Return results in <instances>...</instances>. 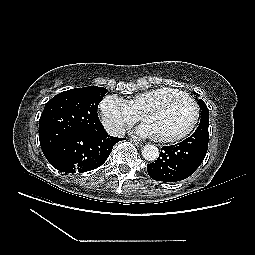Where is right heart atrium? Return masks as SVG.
I'll return each mask as SVG.
<instances>
[{
    "instance_id": "obj_1",
    "label": "right heart atrium",
    "mask_w": 255,
    "mask_h": 255,
    "mask_svg": "<svg viewBox=\"0 0 255 255\" xmlns=\"http://www.w3.org/2000/svg\"><path fill=\"white\" fill-rule=\"evenodd\" d=\"M99 107L104 127L115 135L122 134L125 127L134 124L140 118L129 103L117 95L104 97Z\"/></svg>"
}]
</instances>
